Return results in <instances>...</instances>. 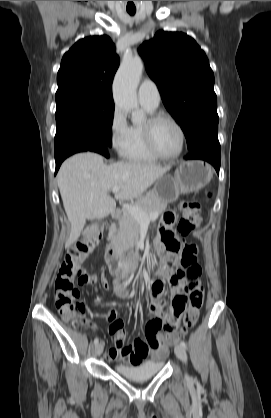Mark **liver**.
Returning a JSON list of instances; mask_svg holds the SVG:
<instances>
[{
    "label": "liver",
    "instance_id": "liver-1",
    "mask_svg": "<svg viewBox=\"0 0 271 418\" xmlns=\"http://www.w3.org/2000/svg\"><path fill=\"white\" fill-rule=\"evenodd\" d=\"M170 168L134 161L106 165L102 156L91 152L65 160L57 174L64 209L71 224L65 247L77 241L87 219H101L112 214L116 208L115 199L140 197ZM116 186L120 190L113 199L108 192Z\"/></svg>",
    "mask_w": 271,
    "mask_h": 418
}]
</instances>
